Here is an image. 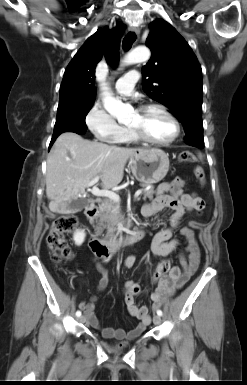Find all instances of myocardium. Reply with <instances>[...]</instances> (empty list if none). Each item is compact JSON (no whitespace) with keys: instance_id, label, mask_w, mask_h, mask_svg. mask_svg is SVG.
I'll return each mask as SVG.
<instances>
[{"instance_id":"obj_1","label":"myocardium","mask_w":247,"mask_h":385,"mask_svg":"<svg viewBox=\"0 0 247 385\" xmlns=\"http://www.w3.org/2000/svg\"><path fill=\"white\" fill-rule=\"evenodd\" d=\"M151 110H158V111L162 112L172 122V124L174 126V133H173L172 137L168 140H165V141L152 140V139L148 138L147 136H145L137 128L129 126L130 132L132 133V135L137 140L142 141V142L147 143V144H150V145H153V146L164 147V146L171 145L172 143H174L178 139V137L180 136V133H181V126H180L178 119L166 107H164L163 105H160V104H146V105L140 106L137 109V111L139 113H146V112H149Z\"/></svg>"}]
</instances>
